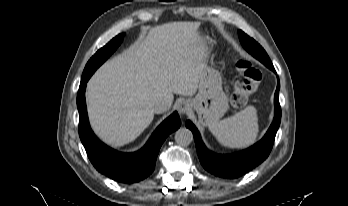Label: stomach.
Instances as JSON below:
<instances>
[{
    "mask_svg": "<svg viewBox=\"0 0 348 206\" xmlns=\"http://www.w3.org/2000/svg\"><path fill=\"white\" fill-rule=\"evenodd\" d=\"M194 109L202 121L217 120L227 110V100L221 88V74L207 65L199 72V92L194 98Z\"/></svg>",
    "mask_w": 348,
    "mask_h": 206,
    "instance_id": "1",
    "label": "stomach"
}]
</instances>
